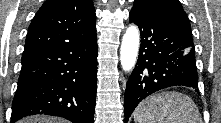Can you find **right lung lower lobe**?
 Returning a JSON list of instances; mask_svg holds the SVG:
<instances>
[{
	"instance_id": "98d812e1",
	"label": "right lung lower lobe",
	"mask_w": 221,
	"mask_h": 123,
	"mask_svg": "<svg viewBox=\"0 0 221 123\" xmlns=\"http://www.w3.org/2000/svg\"><path fill=\"white\" fill-rule=\"evenodd\" d=\"M97 54L96 34L63 47L24 52L11 122L47 114L93 123Z\"/></svg>"
}]
</instances>
